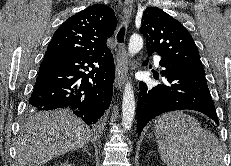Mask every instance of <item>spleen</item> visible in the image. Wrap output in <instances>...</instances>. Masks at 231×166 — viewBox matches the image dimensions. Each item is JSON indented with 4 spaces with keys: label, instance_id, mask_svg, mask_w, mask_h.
I'll list each match as a JSON object with an SVG mask.
<instances>
[{
    "label": "spleen",
    "instance_id": "spleen-1",
    "mask_svg": "<svg viewBox=\"0 0 231 166\" xmlns=\"http://www.w3.org/2000/svg\"><path fill=\"white\" fill-rule=\"evenodd\" d=\"M161 160L167 166H224L216 136L182 111L159 116L154 125Z\"/></svg>",
    "mask_w": 231,
    "mask_h": 166
}]
</instances>
